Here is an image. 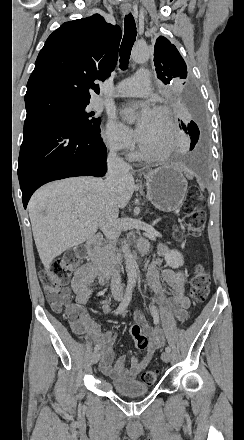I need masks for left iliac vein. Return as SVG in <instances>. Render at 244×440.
Returning <instances> with one entry per match:
<instances>
[{
	"label": "left iliac vein",
	"instance_id": "left-iliac-vein-1",
	"mask_svg": "<svg viewBox=\"0 0 244 440\" xmlns=\"http://www.w3.org/2000/svg\"><path fill=\"white\" fill-rule=\"evenodd\" d=\"M161 358L164 362H169L170 358H171L170 352H167V351L162 352Z\"/></svg>",
	"mask_w": 244,
	"mask_h": 440
}]
</instances>
